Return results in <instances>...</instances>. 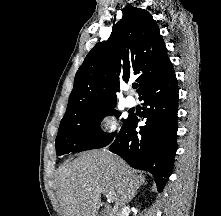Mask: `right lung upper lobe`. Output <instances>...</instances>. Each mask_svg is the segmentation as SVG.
I'll use <instances>...</instances> for the list:
<instances>
[{"instance_id": "cb5924a9", "label": "right lung upper lobe", "mask_w": 221, "mask_h": 216, "mask_svg": "<svg viewBox=\"0 0 221 216\" xmlns=\"http://www.w3.org/2000/svg\"><path fill=\"white\" fill-rule=\"evenodd\" d=\"M173 70L157 23L144 9L126 7L110 38L97 43L78 69L63 118L116 104L120 80L138 75L139 96Z\"/></svg>"}]
</instances>
